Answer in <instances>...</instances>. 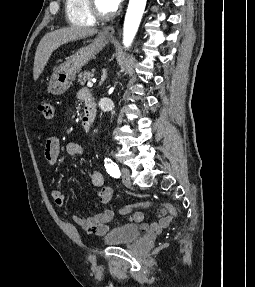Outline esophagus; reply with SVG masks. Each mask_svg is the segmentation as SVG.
I'll list each match as a JSON object with an SVG mask.
<instances>
[{"label":"esophagus","instance_id":"esophagus-1","mask_svg":"<svg viewBox=\"0 0 255 287\" xmlns=\"http://www.w3.org/2000/svg\"><path fill=\"white\" fill-rule=\"evenodd\" d=\"M114 34V26L108 25L106 27H103L101 30V35L111 37Z\"/></svg>","mask_w":255,"mask_h":287}]
</instances>
